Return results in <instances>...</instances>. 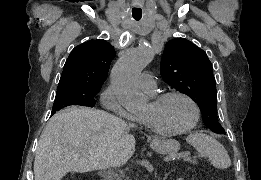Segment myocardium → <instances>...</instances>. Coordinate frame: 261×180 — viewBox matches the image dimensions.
Instances as JSON below:
<instances>
[{"instance_id": "obj_1", "label": "myocardium", "mask_w": 261, "mask_h": 180, "mask_svg": "<svg viewBox=\"0 0 261 180\" xmlns=\"http://www.w3.org/2000/svg\"><path fill=\"white\" fill-rule=\"evenodd\" d=\"M173 96H179L183 99H185L191 106L192 108V118L187 125V127L182 130L179 133L176 134H171L167 136H158L154 134L151 129L141 122L140 120L137 119L138 126L143 133L144 136H146L149 139H168V140H174V139H182L186 135H188L197 125L199 118H200V107L197 103V101L188 93L181 91V90H169L165 92H154L149 95L150 99L152 100L153 103H159L160 101L167 99L169 97Z\"/></svg>"}]
</instances>
